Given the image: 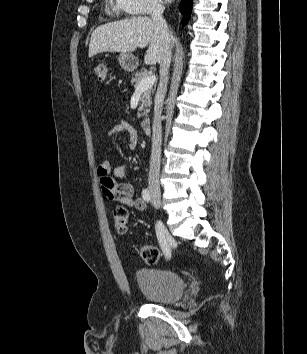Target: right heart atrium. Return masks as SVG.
Masks as SVG:
<instances>
[{
  "label": "right heart atrium",
  "instance_id": "obj_1",
  "mask_svg": "<svg viewBox=\"0 0 307 354\" xmlns=\"http://www.w3.org/2000/svg\"><path fill=\"white\" fill-rule=\"evenodd\" d=\"M123 9L134 15L151 14L162 9V0H118Z\"/></svg>",
  "mask_w": 307,
  "mask_h": 354
}]
</instances>
